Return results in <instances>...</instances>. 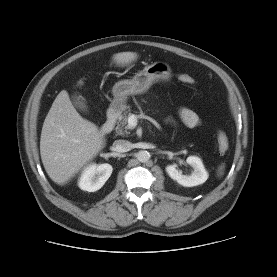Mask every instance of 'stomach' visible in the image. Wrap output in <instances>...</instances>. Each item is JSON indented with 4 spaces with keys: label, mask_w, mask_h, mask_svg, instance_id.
I'll return each instance as SVG.
<instances>
[{
    "label": "stomach",
    "mask_w": 277,
    "mask_h": 277,
    "mask_svg": "<svg viewBox=\"0 0 277 277\" xmlns=\"http://www.w3.org/2000/svg\"><path fill=\"white\" fill-rule=\"evenodd\" d=\"M171 72L172 70L169 65L157 62L146 66L132 79L118 81L113 86L112 92L114 100L111 108L116 112L123 111L126 108L128 96L146 92L156 81L169 80L172 76Z\"/></svg>",
    "instance_id": "1"
}]
</instances>
